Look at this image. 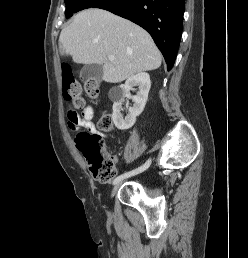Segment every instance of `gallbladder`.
Wrapping results in <instances>:
<instances>
[{
  "label": "gallbladder",
  "instance_id": "1",
  "mask_svg": "<svg viewBox=\"0 0 248 258\" xmlns=\"http://www.w3.org/2000/svg\"><path fill=\"white\" fill-rule=\"evenodd\" d=\"M81 76L86 79H96L100 81L103 75V66L102 64H87L85 65L80 72Z\"/></svg>",
  "mask_w": 248,
  "mask_h": 258
}]
</instances>
